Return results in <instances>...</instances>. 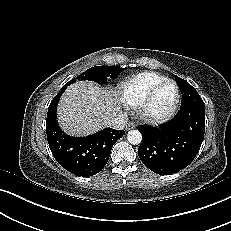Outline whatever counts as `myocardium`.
I'll return each mask as SVG.
<instances>
[{
  "label": "myocardium",
  "mask_w": 231,
  "mask_h": 231,
  "mask_svg": "<svg viewBox=\"0 0 231 231\" xmlns=\"http://www.w3.org/2000/svg\"><path fill=\"white\" fill-rule=\"evenodd\" d=\"M164 84H172L174 86L175 94L174 99L171 105L161 113H153L150 110V102L156 92L164 85ZM180 102V90L177 83L172 79H163L159 83H157L153 88L149 90V92L142 99L137 108V114L145 123L151 125L162 124L170 120L175 114L178 105Z\"/></svg>",
  "instance_id": "myocardium-1"
}]
</instances>
